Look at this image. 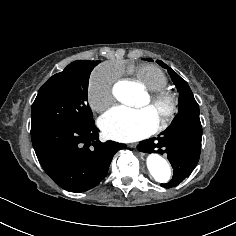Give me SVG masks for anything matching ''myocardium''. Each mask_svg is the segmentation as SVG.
<instances>
[{"label":"myocardium","instance_id":"myocardium-1","mask_svg":"<svg viewBox=\"0 0 236 236\" xmlns=\"http://www.w3.org/2000/svg\"><path fill=\"white\" fill-rule=\"evenodd\" d=\"M149 105L153 108H164L165 113L161 122L155 121L154 132H163L167 130L175 121L180 111V101L178 96L164 88L157 92L150 93Z\"/></svg>","mask_w":236,"mask_h":236}]
</instances>
